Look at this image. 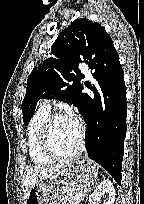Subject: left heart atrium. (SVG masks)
<instances>
[{
  "instance_id": "39dd6f15",
  "label": "left heart atrium",
  "mask_w": 144,
  "mask_h": 204,
  "mask_svg": "<svg viewBox=\"0 0 144 204\" xmlns=\"http://www.w3.org/2000/svg\"><path fill=\"white\" fill-rule=\"evenodd\" d=\"M70 118H72L79 125L78 118L76 115L70 114Z\"/></svg>"
}]
</instances>
